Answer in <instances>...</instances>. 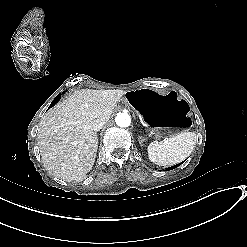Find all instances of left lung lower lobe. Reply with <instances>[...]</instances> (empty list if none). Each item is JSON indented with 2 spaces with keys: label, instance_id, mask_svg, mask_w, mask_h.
<instances>
[{
  "label": "left lung lower lobe",
  "instance_id": "obj_1",
  "mask_svg": "<svg viewBox=\"0 0 247 247\" xmlns=\"http://www.w3.org/2000/svg\"><path fill=\"white\" fill-rule=\"evenodd\" d=\"M183 162H184V161H183ZM183 162H182V163H183ZM182 163H180V164H178V165H175V166H172V167L168 168L167 170H172V169L178 167L179 165H181Z\"/></svg>",
  "mask_w": 247,
  "mask_h": 247
}]
</instances>
